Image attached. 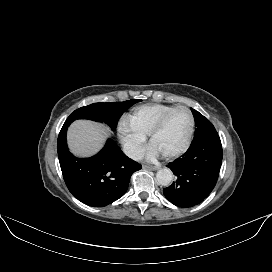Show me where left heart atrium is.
<instances>
[{"label":"left heart atrium","instance_id":"left-heart-atrium-1","mask_svg":"<svg viewBox=\"0 0 272 272\" xmlns=\"http://www.w3.org/2000/svg\"><path fill=\"white\" fill-rule=\"evenodd\" d=\"M160 155L159 151L151 144L147 151V157L149 159H154Z\"/></svg>","mask_w":272,"mask_h":272}]
</instances>
